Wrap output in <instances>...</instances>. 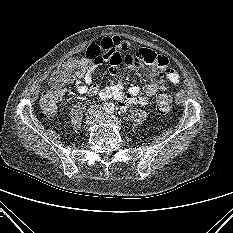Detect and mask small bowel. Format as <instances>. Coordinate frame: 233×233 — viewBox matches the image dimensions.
Segmentation results:
<instances>
[{"instance_id":"small-bowel-1","label":"small bowel","mask_w":233,"mask_h":233,"mask_svg":"<svg viewBox=\"0 0 233 233\" xmlns=\"http://www.w3.org/2000/svg\"><path fill=\"white\" fill-rule=\"evenodd\" d=\"M128 47V43L117 36L105 37L90 44L85 55L93 59V64L81 75L82 80L75 81L78 92L90 96L98 94L103 100L114 98L119 102L121 110L125 111L132 105L148 104L150 97L165 90L164 76L173 83L180 81L178 73L169 67L165 56L157 55L148 49H140L122 56L120 51H128ZM102 62L109 63V70L115 79L109 85L99 88L93 82L92 67ZM122 63L132 68H140L143 63L151 66L148 73L149 85L145 95H141L139 86L125 89L123 74L119 70Z\"/></svg>"}]
</instances>
